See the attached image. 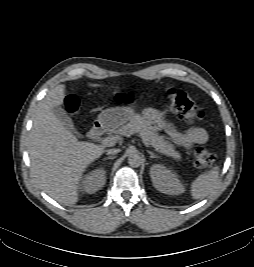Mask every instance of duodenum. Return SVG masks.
I'll return each mask as SVG.
<instances>
[{"label": "duodenum", "mask_w": 254, "mask_h": 267, "mask_svg": "<svg viewBox=\"0 0 254 267\" xmlns=\"http://www.w3.org/2000/svg\"><path fill=\"white\" fill-rule=\"evenodd\" d=\"M105 131V126L101 122H96L88 133V137L90 139H97L99 138Z\"/></svg>", "instance_id": "1"}]
</instances>
